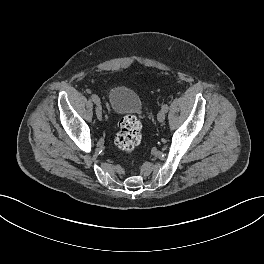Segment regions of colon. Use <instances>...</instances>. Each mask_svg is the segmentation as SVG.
<instances>
[{
	"label": "colon",
	"instance_id": "5ec220e1",
	"mask_svg": "<svg viewBox=\"0 0 264 264\" xmlns=\"http://www.w3.org/2000/svg\"><path fill=\"white\" fill-rule=\"evenodd\" d=\"M141 141V123L133 115L123 117L118 123L116 146L126 152L133 151Z\"/></svg>",
	"mask_w": 264,
	"mask_h": 264
}]
</instances>
